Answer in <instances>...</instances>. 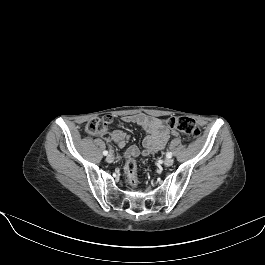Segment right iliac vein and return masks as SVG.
Here are the masks:
<instances>
[{"label": "right iliac vein", "instance_id": "1", "mask_svg": "<svg viewBox=\"0 0 265 265\" xmlns=\"http://www.w3.org/2000/svg\"><path fill=\"white\" fill-rule=\"evenodd\" d=\"M106 161H107L108 163H112V162L114 161V156L111 155V154H109V155L106 157Z\"/></svg>", "mask_w": 265, "mask_h": 265}]
</instances>
